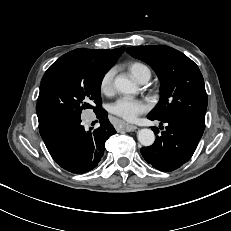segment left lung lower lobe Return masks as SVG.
I'll return each instance as SVG.
<instances>
[{
  "mask_svg": "<svg viewBox=\"0 0 231 231\" xmlns=\"http://www.w3.org/2000/svg\"><path fill=\"white\" fill-rule=\"evenodd\" d=\"M148 119L167 123V127L161 136L157 135L153 145L141 149L142 156L160 171L176 170L193 155L204 132V124L177 116L159 119L148 115ZM152 130L159 133L157 127H152Z\"/></svg>",
  "mask_w": 231,
  "mask_h": 231,
  "instance_id": "left-lung-lower-lobe-1",
  "label": "left lung lower lobe"
}]
</instances>
